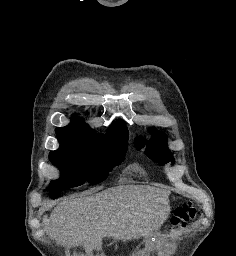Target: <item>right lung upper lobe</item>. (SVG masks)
<instances>
[{"label":"right lung upper lobe","mask_w":236,"mask_h":256,"mask_svg":"<svg viewBox=\"0 0 236 256\" xmlns=\"http://www.w3.org/2000/svg\"><path fill=\"white\" fill-rule=\"evenodd\" d=\"M56 132L57 134H71L100 141L128 142V130L119 123L112 124L106 134H96L93 129L79 121H75L66 127H58Z\"/></svg>","instance_id":"1"}]
</instances>
